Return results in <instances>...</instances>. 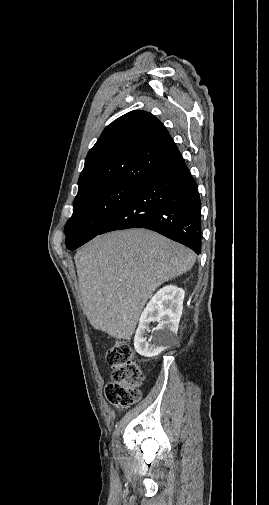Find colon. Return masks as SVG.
Wrapping results in <instances>:
<instances>
[{
  "mask_svg": "<svg viewBox=\"0 0 269 505\" xmlns=\"http://www.w3.org/2000/svg\"><path fill=\"white\" fill-rule=\"evenodd\" d=\"M106 361L111 368V381L105 388L107 400L119 409L127 408L140 400L139 386L143 374L127 340H118L106 351Z\"/></svg>",
  "mask_w": 269,
  "mask_h": 505,
  "instance_id": "obj_1",
  "label": "colon"
}]
</instances>
